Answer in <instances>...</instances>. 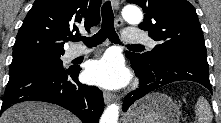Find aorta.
<instances>
[{"mask_svg": "<svg viewBox=\"0 0 221 123\" xmlns=\"http://www.w3.org/2000/svg\"><path fill=\"white\" fill-rule=\"evenodd\" d=\"M122 16L129 24H139L143 20L141 10L136 6H126L122 10ZM119 117V105L113 103L104 111L100 123H117Z\"/></svg>", "mask_w": 221, "mask_h": 123, "instance_id": "1", "label": "aorta"}]
</instances>
